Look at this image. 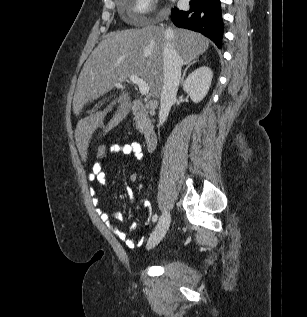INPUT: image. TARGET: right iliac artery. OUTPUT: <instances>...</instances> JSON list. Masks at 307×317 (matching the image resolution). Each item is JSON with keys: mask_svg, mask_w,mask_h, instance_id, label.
Here are the masks:
<instances>
[{"mask_svg": "<svg viewBox=\"0 0 307 317\" xmlns=\"http://www.w3.org/2000/svg\"><path fill=\"white\" fill-rule=\"evenodd\" d=\"M157 220V215L153 216V221L155 222Z\"/></svg>", "mask_w": 307, "mask_h": 317, "instance_id": "82829eb1", "label": "right iliac artery"}]
</instances>
